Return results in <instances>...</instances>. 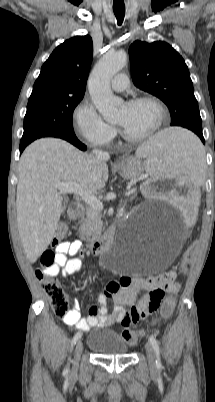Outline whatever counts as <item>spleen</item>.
Instances as JSON below:
<instances>
[{
    "label": "spleen",
    "mask_w": 215,
    "mask_h": 402,
    "mask_svg": "<svg viewBox=\"0 0 215 402\" xmlns=\"http://www.w3.org/2000/svg\"><path fill=\"white\" fill-rule=\"evenodd\" d=\"M204 144L191 128H165L142 144L137 155L146 157L144 168L150 175H180L187 182H202Z\"/></svg>",
    "instance_id": "spleen-1"
}]
</instances>
